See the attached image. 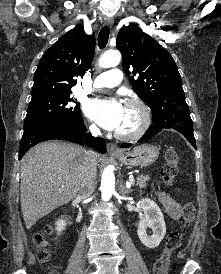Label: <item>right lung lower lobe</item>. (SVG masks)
<instances>
[{
	"label": "right lung lower lobe",
	"instance_id": "right-lung-lower-lobe-1",
	"mask_svg": "<svg viewBox=\"0 0 221 274\" xmlns=\"http://www.w3.org/2000/svg\"><path fill=\"white\" fill-rule=\"evenodd\" d=\"M54 139L73 143L86 140L85 144L91 146L99 153L106 152L104 139L93 138L90 134H87L84 121L71 122L63 119H49L24 126V133L19 148V159L37 143Z\"/></svg>",
	"mask_w": 221,
	"mask_h": 274
}]
</instances>
